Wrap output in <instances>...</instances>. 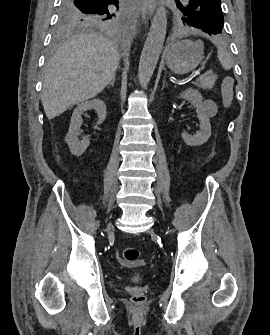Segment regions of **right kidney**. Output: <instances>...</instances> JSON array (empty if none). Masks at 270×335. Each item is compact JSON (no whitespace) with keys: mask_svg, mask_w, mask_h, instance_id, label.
<instances>
[{"mask_svg":"<svg viewBox=\"0 0 270 335\" xmlns=\"http://www.w3.org/2000/svg\"><path fill=\"white\" fill-rule=\"evenodd\" d=\"M86 110H96L98 114L97 124H103L106 118V106L102 100H89V102H81V104L75 108L72 114L69 132L65 138L73 156H81V154H83L89 146L88 136H85L83 140H78V136L81 134L80 128L83 122L81 116L83 112H86Z\"/></svg>","mask_w":270,"mask_h":335,"instance_id":"1","label":"right kidney"}]
</instances>
